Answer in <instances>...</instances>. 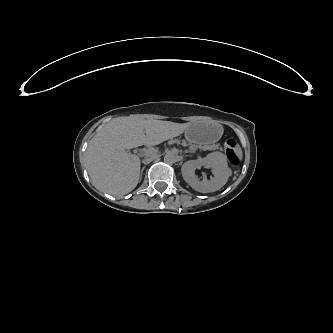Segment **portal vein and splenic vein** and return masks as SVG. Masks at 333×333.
<instances>
[{"mask_svg": "<svg viewBox=\"0 0 333 333\" xmlns=\"http://www.w3.org/2000/svg\"><path fill=\"white\" fill-rule=\"evenodd\" d=\"M154 153H156V151L147 150V151L144 152V155L149 156V155L154 154Z\"/></svg>", "mask_w": 333, "mask_h": 333, "instance_id": "portal-vein-and-splenic-vein-1", "label": "portal vein and splenic vein"}]
</instances>
